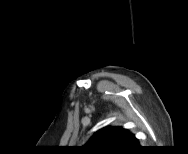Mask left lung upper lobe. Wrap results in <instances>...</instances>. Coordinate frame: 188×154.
<instances>
[{
	"label": "left lung upper lobe",
	"instance_id": "obj_1",
	"mask_svg": "<svg viewBox=\"0 0 188 154\" xmlns=\"http://www.w3.org/2000/svg\"><path fill=\"white\" fill-rule=\"evenodd\" d=\"M135 135L122 127H107L97 131L85 147L95 152H121L131 148Z\"/></svg>",
	"mask_w": 188,
	"mask_h": 154
}]
</instances>
